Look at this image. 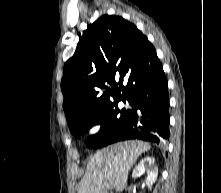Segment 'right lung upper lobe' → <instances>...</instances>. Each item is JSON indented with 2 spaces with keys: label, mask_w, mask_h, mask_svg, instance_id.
<instances>
[{
  "label": "right lung upper lobe",
  "mask_w": 221,
  "mask_h": 193,
  "mask_svg": "<svg viewBox=\"0 0 221 193\" xmlns=\"http://www.w3.org/2000/svg\"><path fill=\"white\" fill-rule=\"evenodd\" d=\"M159 62L147 37L122 17L103 15L90 24L64 66L61 89L69 127L115 100L131 98Z\"/></svg>",
  "instance_id": "right-lung-upper-lobe-1"
}]
</instances>
